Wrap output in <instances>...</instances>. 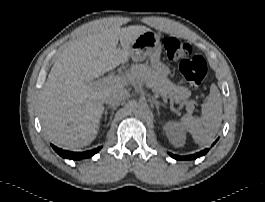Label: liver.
Masks as SVG:
<instances>
[{
  "instance_id": "obj_1",
  "label": "liver",
  "mask_w": 265,
  "mask_h": 202,
  "mask_svg": "<svg viewBox=\"0 0 265 202\" xmlns=\"http://www.w3.org/2000/svg\"><path fill=\"white\" fill-rule=\"evenodd\" d=\"M148 30L96 20L58 54L39 95L42 129L52 143L70 150L92 143L100 129L107 93L125 88L120 83L95 86L92 82L128 62L132 43Z\"/></svg>"
}]
</instances>
